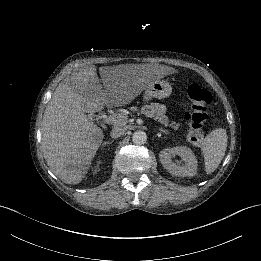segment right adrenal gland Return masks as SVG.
I'll return each mask as SVG.
<instances>
[{
    "label": "right adrenal gland",
    "mask_w": 261,
    "mask_h": 261,
    "mask_svg": "<svg viewBox=\"0 0 261 261\" xmlns=\"http://www.w3.org/2000/svg\"><path fill=\"white\" fill-rule=\"evenodd\" d=\"M113 143H114L113 141H110V142H103V143H102V147L110 146V145H112Z\"/></svg>",
    "instance_id": "1"
}]
</instances>
